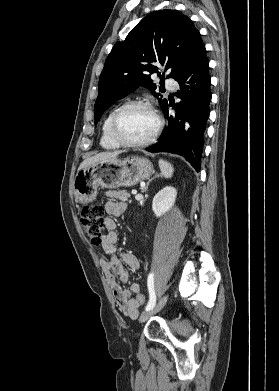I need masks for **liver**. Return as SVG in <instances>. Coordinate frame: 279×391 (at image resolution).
I'll list each match as a JSON object with an SVG mask.
<instances>
[{
	"instance_id": "1",
	"label": "liver",
	"mask_w": 279,
	"mask_h": 391,
	"mask_svg": "<svg viewBox=\"0 0 279 391\" xmlns=\"http://www.w3.org/2000/svg\"><path fill=\"white\" fill-rule=\"evenodd\" d=\"M120 152H101L89 158H86L79 166L78 171L87 168L97 162H107L116 159Z\"/></svg>"
}]
</instances>
